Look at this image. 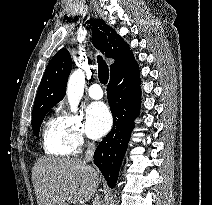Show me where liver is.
Listing matches in <instances>:
<instances>
[{"instance_id": "obj_1", "label": "liver", "mask_w": 212, "mask_h": 205, "mask_svg": "<svg viewBox=\"0 0 212 205\" xmlns=\"http://www.w3.org/2000/svg\"><path fill=\"white\" fill-rule=\"evenodd\" d=\"M38 205L76 204L91 200L98 187V173L78 158H39L32 171Z\"/></svg>"}]
</instances>
